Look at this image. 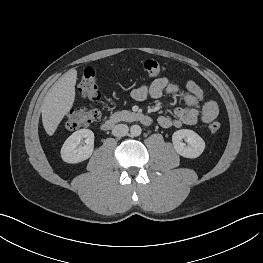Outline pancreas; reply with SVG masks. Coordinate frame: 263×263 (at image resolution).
Wrapping results in <instances>:
<instances>
[{
  "instance_id": "obj_1",
  "label": "pancreas",
  "mask_w": 263,
  "mask_h": 263,
  "mask_svg": "<svg viewBox=\"0 0 263 263\" xmlns=\"http://www.w3.org/2000/svg\"><path fill=\"white\" fill-rule=\"evenodd\" d=\"M135 117V114L127 111V110H123V111H117L115 113H113L111 115V119L119 122V121H130Z\"/></svg>"
}]
</instances>
